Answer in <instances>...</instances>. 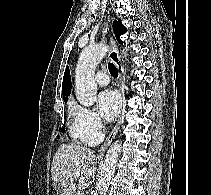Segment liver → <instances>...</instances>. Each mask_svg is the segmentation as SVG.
Listing matches in <instances>:
<instances>
[{
    "label": "liver",
    "mask_w": 211,
    "mask_h": 195,
    "mask_svg": "<svg viewBox=\"0 0 211 195\" xmlns=\"http://www.w3.org/2000/svg\"><path fill=\"white\" fill-rule=\"evenodd\" d=\"M96 165L97 157L93 150L76 144L61 145L54 155L51 166L55 189L61 195H75V173H80L78 188L84 189L95 177Z\"/></svg>",
    "instance_id": "1"
}]
</instances>
